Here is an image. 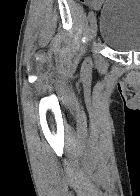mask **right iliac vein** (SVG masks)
<instances>
[{"label": "right iliac vein", "instance_id": "obj_1", "mask_svg": "<svg viewBox=\"0 0 140 196\" xmlns=\"http://www.w3.org/2000/svg\"><path fill=\"white\" fill-rule=\"evenodd\" d=\"M90 26H91L92 37H93V39H96V37H97V21H96V18H94V17L91 18Z\"/></svg>", "mask_w": 140, "mask_h": 196}]
</instances>
